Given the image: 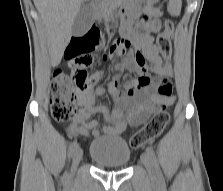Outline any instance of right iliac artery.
I'll return each mask as SVG.
<instances>
[{
    "mask_svg": "<svg viewBox=\"0 0 223 191\" xmlns=\"http://www.w3.org/2000/svg\"><path fill=\"white\" fill-rule=\"evenodd\" d=\"M77 147H78L77 141H73L70 143L69 156H71L74 153ZM64 177L67 178V173L64 174Z\"/></svg>",
    "mask_w": 223,
    "mask_h": 191,
    "instance_id": "82829eb1",
    "label": "right iliac artery"
}]
</instances>
